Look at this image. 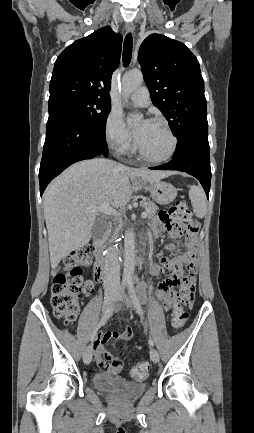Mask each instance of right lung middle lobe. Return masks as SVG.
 I'll list each match as a JSON object with an SVG mask.
<instances>
[{
  "label": "right lung middle lobe",
  "mask_w": 254,
  "mask_h": 433,
  "mask_svg": "<svg viewBox=\"0 0 254 433\" xmlns=\"http://www.w3.org/2000/svg\"><path fill=\"white\" fill-rule=\"evenodd\" d=\"M110 109L111 104L109 102L82 98L65 99L49 105V113L64 112L103 130H105Z\"/></svg>",
  "instance_id": "dd1d6c3e"
}]
</instances>
